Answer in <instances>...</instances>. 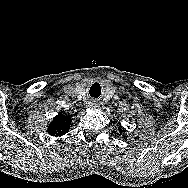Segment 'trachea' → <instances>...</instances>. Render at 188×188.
I'll use <instances>...</instances> for the list:
<instances>
[{
  "mask_svg": "<svg viewBox=\"0 0 188 188\" xmlns=\"http://www.w3.org/2000/svg\"><path fill=\"white\" fill-rule=\"evenodd\" d=\"M102 90H103V87L101 84H99V83L93 84L90 88L91 97H93V98L100 97Z\"/></svg>",
  "mask_w": 188,
  "mask_h": 188,
  "instance_id": "trachea-1",
  "label": "trachea"
}]
</instances>
